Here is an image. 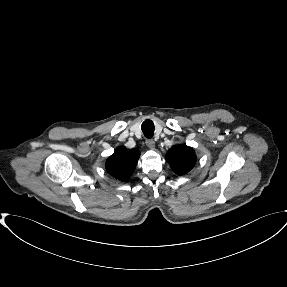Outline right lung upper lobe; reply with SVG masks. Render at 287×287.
<instances>
[{
    "label": "right lung upper lobe",
    "mask_w": 287,
    "mask_h": 287,
    "mask_svg": "<svg viewBox=\"0 0 287 287\" xmlns=\"http://www.w3.org/2000/svg\"><path fill=\"white\" fill-rule=\"evenodd\" d=\"M140 152L134 148L127 150L124 147H118L115 152L106 161L107 172L121 180L128 181L133 174Z\"/></svg>",
    "instance_id": "cb5924a9"
}]
</instances>
